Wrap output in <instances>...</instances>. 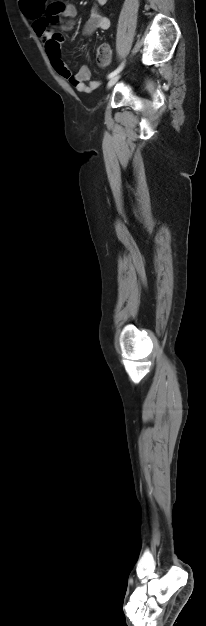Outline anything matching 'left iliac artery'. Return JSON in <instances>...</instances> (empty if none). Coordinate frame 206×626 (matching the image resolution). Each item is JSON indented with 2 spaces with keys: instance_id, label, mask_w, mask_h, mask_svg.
Masks as SVG:
<instances>
[{
  "instance_id": "1",
  "label": "left iliac artery",
  "mask_w": 206,
  "mask_h": 626,
  "mask_svg": "<svg viewBox=\"0 0 206 626\" xmlns=\"http://www.w3.org/2000/svg\"><path fill=\"white\" fill-rule=\"evenodd\" d=\"M123 67H124V62H122V63L120 64V66H119L117 69H115L113 72H111V73L108 75V78H112L113 76H115L116 74H118V73H119V72L123 69Z\"/></svg>"
}]
</instances>
